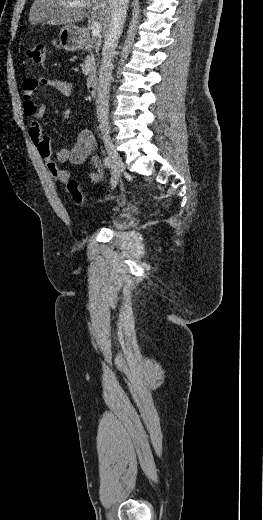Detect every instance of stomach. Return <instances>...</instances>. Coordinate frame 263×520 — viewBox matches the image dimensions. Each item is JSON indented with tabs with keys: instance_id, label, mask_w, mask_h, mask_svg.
<instances>
[{
	"instance_id": "stomach-1",
	"label": "stomach",
	"mask_w": 263,
	"mask_h": 520,
	"mask_svg": "<svg viewBox=\"0 0 263 520\" xmlns=\"http://www.w3.org/2000/svg\"><path fill=\"white\" fill-rule=\"evenodd\" d=\"M82 32L78 26L64 25L59 31V44L67 51H76L82 47Z\"/></svg>"
}]
</instances>
